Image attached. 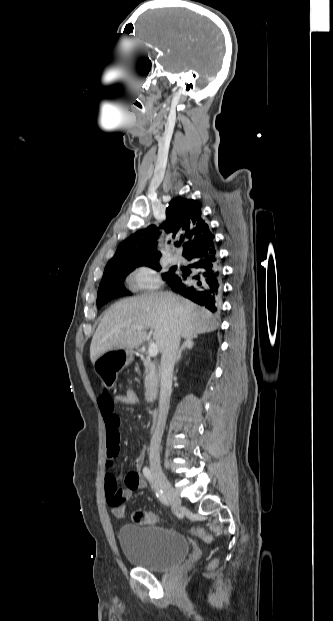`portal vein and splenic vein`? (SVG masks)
<instances>
[{
  "label": "portal vein and splenic vein",
  "instance_id": "18ae733b",
  "mask_svg": "<svg viewBox=\"0 0 333 621\" xmlns=\"http://www.w3.org/2000/svg\"><path fill=\"white\" fill-rule=\"evenodd\" d=\"M145 327H138L137 330L138 331H142L144 330ZM148 352H149V356L150 357H155L158 354V346L155 342H151L148 348Z\"/></svg>",
  "mask_w": 333,
  "mask_h": 621
}]
</instances>
